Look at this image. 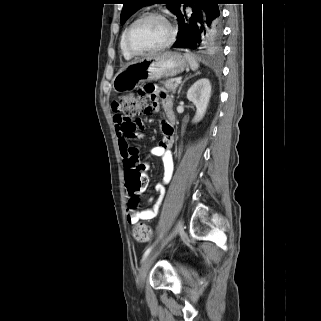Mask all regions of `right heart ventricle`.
<instances>
[{"mask_svg": "<svg viewBox=\"0 0 321 321\" xmlns=\"http://www.w3.org/2000/svg\"><path fill=\"white\" fill-rule=\"evenodd\" d=\"M126 31V30H125ZM125 31L122 33V36H121V39H120V49H121V53L123 55V57L126 59V60H131L134 56L130 55L126 49H125V46H124V34H125Z\"/></svg>", "mask_w": 321, "mask_h": 321, "instance_id": "obj_1", "label": "right heart ventricle"}]
</instances>
